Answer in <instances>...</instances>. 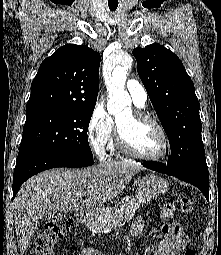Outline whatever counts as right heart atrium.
Wrapping results in <instances>:
<instances>
[{"instance_id":"1","label":"right heart atrium","mask_w":221,"mask_h":255,"mask_svg":"<svg viewBox=\"0 0 221 255\" xmlns=\"http://www.w3.org/2000/svg\"><path fill=\"white\" fill-rule=\"evenodd\" d=\"M115 124L103 105L93 109L86 127V134L91 149L99 158H103L106 148L113 137Z\"/></svg>"}]
</instances>
